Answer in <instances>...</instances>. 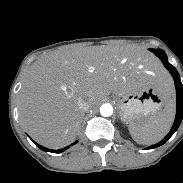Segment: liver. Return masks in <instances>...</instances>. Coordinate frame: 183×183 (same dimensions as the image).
<instances>
[{
  "label": "liver",
  "mask_w": 183,
  "mask_h": 183,
  "mask_svg": "<svg viewBox=\"0 0 183 183\" xmlns=\"http://www.w3.org/2000/svg\"><path fill=\"white\" fill-rule=\"evenodd\" d=\"M145 64L165 99L172 95L168 74L149 55L131 47L90 46L50 53L29 68L19 95L20 119L29 135L53 149L71 144L78 135L84 111L80 98L96 106L115 93L130 91L133 64Z\"/></svg>",
  "instance_id": "liver-1"
}]
</instances>
